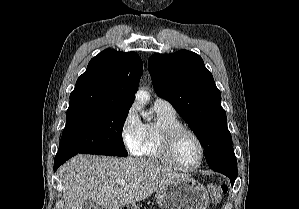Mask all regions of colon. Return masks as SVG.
I'll return each instance as SVG.
<instances>
[{
    "label": "colon",
    "mask_w": 299,
    "mask_h": 209,
    "mask_svg": "<svg viewBox=\"0 0 299 209\" xmlns=\"http://www.w3.org/2000/svg\"><path fill=\"white\" fill-rule=\"evenodd\" d=\"M211 200L214 203L220 202L228 191V187L221 183H211L208 186Z\"/></svg>",
    "instance_id": "1"
}]
</instances>
